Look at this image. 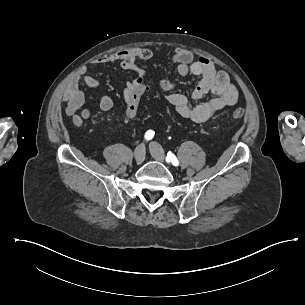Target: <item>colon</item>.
Wrapping results in <instances>:
<instances>
[{
	"instance_id": "5ec220e1",
	"label": "colon",
	"mask_w": 305,
	"mask_h": 305,
	"mask_svg": "<svg viewBox=\"0 0 305 305\" xmlns=\"http://www.w3.org/2000/svg\"><path fill=\"white\" fill-rule=\"evenodd\" d=\"M144 87L142 85H137L135 87V93L130 95V99L126 102V107L128 110L126 111V117L128 119H133L135 117V111L133 108L138 106V101L143 99ZM245 114V110L243 108L235 109L232 112V117L237 119L243 117Z\"/></svg>"
}]
</instances>
